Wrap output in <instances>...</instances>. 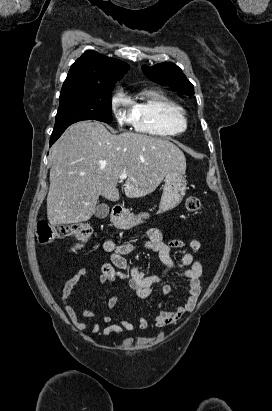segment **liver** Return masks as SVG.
Segmentation results:
<instances>
[{
	"label": "liver",
	"instance_id": "liver-1",
	"mask_svg": "<svg viewBox=\"0 0 272 411\" xmlns=\"http://www.w3.org/2000/svg\"><path fill=\"white\" fill-rule=\"evenodd\" d=\"M51 160L47 218L53 226L89 220L99 196L118 201L121 173L128 174L125 195L140 198L155 191L169 171H186L185 156L172 142L111 134L96 121L71 125L53 145Z\"/></svg>",
	"mask_w": 272,
	"mask_h": 411
}]
</instances>
